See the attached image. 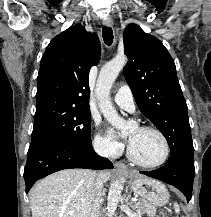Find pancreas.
<instances>
[{
	"mask_svg": "<svg viewBox=\"0 0 211 217\" xmlns=\"http://www.w3.org/2000/svg\"><path fill=\"white\" fill-rule=\"evenodd\" d=\"M134 208L137 209L139 213H147L151 215V217L156 215V208L154 205L150 204L148 201L144 199H139L138 201L133 203Z\"/></svg>",
	"mask_w": 211,
	"mask_h": 217,
	"instance_id": "1",
	"label": "pancreas"
}]
</instances>
